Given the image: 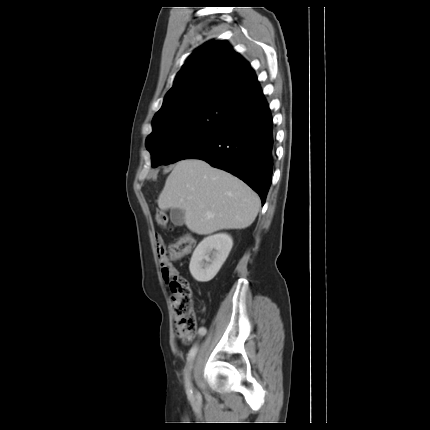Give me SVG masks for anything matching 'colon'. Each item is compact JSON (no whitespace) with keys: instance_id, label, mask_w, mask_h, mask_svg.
Instances as JSON below:
<instances>
[{"instance_id":"obj_1","label":"colon","mask_w":430,"mask_h":430,"mask_svg":"<svg viewBox=\"0 0 430 430\" xmlns=\"http://www.w3.org/2000/svg\"><path fill=\"white\" fill-rule=\"evenodd\" d=\"M156 222L158 225L166 227L168 225L166 213L158 211ZM194 243L193 238L184 235L168 246L164 244L157 246V253L163 251L169 262L190 253ZM169 285L176 333L185 343H189L197 332V317L193 306L192 290L188 281L179 275L173 276Z\"/></svg>"}]
</instances>
